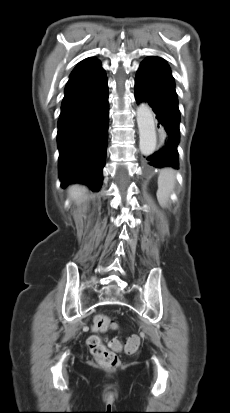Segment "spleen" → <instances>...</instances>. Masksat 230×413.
<instances>
[{
  "label": "spleen",
  "mask_w": 230,
  "mask_h": 413,
  "mask_svg": "<svg viewBox=\"0 0 230 413\" xmlns=\"http://www.w3.org/2000/svg\"><path fill=\"white\" fill-rule=\"evenodd\" d=\"M175 186V171L171 168L161 170L158 177L157 198L161 206L165 207Z\"/></svg>",
  "instance_id": "obj_1"
}]
</instances>
